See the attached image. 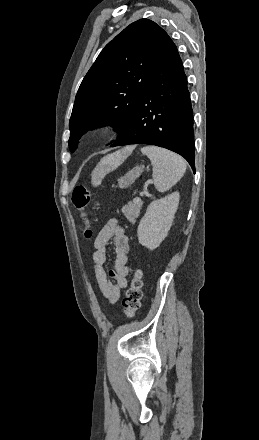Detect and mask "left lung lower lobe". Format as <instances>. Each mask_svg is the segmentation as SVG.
<instances>
[{
	"mask_svg": "<svg viewBox=\"0 0 259 440\" xmlns=\"http://www.w3.org/2000/svg\"><path fill=\"white\" fill-rule=\"evenodd\" d=\"M156 145L183 156L193 171V111L187 78L177 48L169 37L133 117L111 147Z\"/></svg>",
	"mask_w": 259,
	"mask_h": 440,
	"instance_id": "left-lung-lower-lobe-1",
	"label": "left lung lower lobe"
}]
</instances>
